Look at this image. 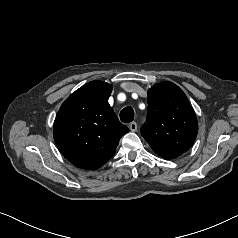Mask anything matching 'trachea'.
Returning a JSON list of instances; mask_svg holds the SVG:
<instances>
[{
    "mask_svg": "<svg viewBox=\"0 0 238 238\" xmlns=\"http://www.w3.org/2000/svg\"><path fill=\"white\" fill-rule=\"evenodd\" d=\"M134 119V110L132 107H125L120 112V120L124 123L132 122Z\"/></svg>",
    "mask_w": 238,
    "mask_h": 238,
    "instance_id": "3493384b",
    "label": "trachea"
}]
</instances>
